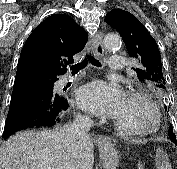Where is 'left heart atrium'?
<instances>
[{
    "label": "left heart atrium",
    "instance_id": "39dd6f15",
    "mask_svg": "<svg viewBox=\"0 0 177 169\" xmlns=\"http://www.w3.org/2000/svg\"><path fill=\"white\" fill-rule=\"evenodd\" d=\"M125 99L121 87L103 80L92 81L76 92V104L97 116H111L118 112Z\"/></svg>",
    "mask_w": 177,
    "mask_h": 169
}]
</instances>
